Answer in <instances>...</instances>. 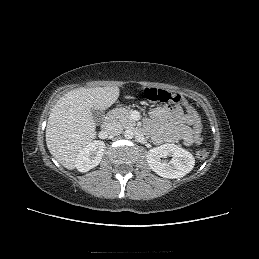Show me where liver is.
I'll return each instance as SVG.
<instances>
[{
  "label": "liver",
  "mask_w": 259,
  "mask_h": 259,
  "mask_svg": "<svg viewBox=\"0 0 259 259\" xmlns=\"http://www.w3.org/2000/svg\"><path fill=\"white\" fill-rule=\"evenodd\" d=\"M118 97L117 86L77 88L60 97L48 118L46 144L62 166L74 169L79 152L96 137L91 109L105 110Z\"/></svg>",
  "instance_id": "liver-1"
}]
</instances>
